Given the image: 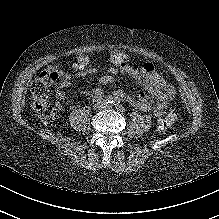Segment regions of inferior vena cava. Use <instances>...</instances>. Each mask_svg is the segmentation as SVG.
Instances as JSON below:
<instances>
[{
    "label": "inferior vena cava",
    "instance_id": "602c4592",
    "mask_svg": "<svg viewBox=\"0 0 219 219\" xmlns=\"http://www.w3.org/2000/svg\"><path fill=\"white\" fill-rule=\"evenodd\" d=\"M104 107H108V105H107V104H105V105H104Z\"/></svg>",
    "mask_w": 219,
    "mask_h": 219
}]
</instances>
